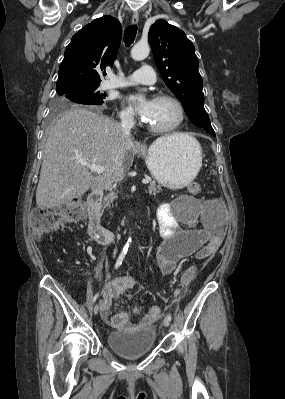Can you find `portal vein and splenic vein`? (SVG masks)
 <instances>
[{"label":"portal vein and splenic vein","instance_id":"18ae733b","mask_svg":"<svg viewBox=\"0 0 285 399\" xmlns=\"http://www.w3.org/2000/svg\"><path fill=\"white\" fill-rule=\"evenodd\" d=\"M83 165L86 166V167H88L92 172L103 173V172L105 171L104 167H103V166H100V165L87 164V163H84ZM142 183H143V184H148L149 181H148L147 179H143V180H142Z\"/></svg>","mask_w":285,"mask_h":399}]
</instances>
